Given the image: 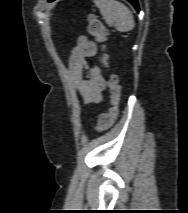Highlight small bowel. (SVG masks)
<instances>
[{
	"label": "small bowel",
	"mask_w": 188,
	"mask_h": 213,
	"mask_svg": "<svg viewBox=\"0 0 188 213\" xmlns=\"http://www.w3.org/2000/svg\"><path fill=\"white\" fill-rule=\"evenodd\" d=\"M96 54V43L80 36L68 63L70 81L86 104L99 103L106 89L100 68L92 62Z\"/></svg>",
	"instance_id": "1"
}]
</instances>
